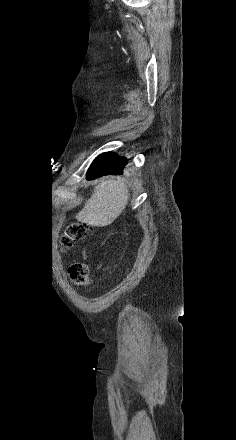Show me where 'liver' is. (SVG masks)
Here are the masks:
<instances>
[{"instance_id": "1", "label": "liver", "mask_w": 236, "mask_h": 440, "mask_svg": "<svg viewBox=\"0 0 236 440\" xmlns=\"http://www.w3.org/2000/svg\"><path fill=\"white\" fill-rule=\"evenodd\" d=\"M129 199L127 186L120 178H108L95 187L76 219L90 226L104 227L123 212Z\"/></svg>"}]
</instances>
